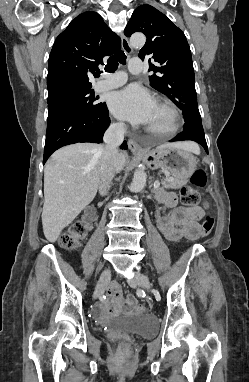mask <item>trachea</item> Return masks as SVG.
<instances>
[{
	"instance_id": "1",
	"label": "trachea",
	"mask_w": 249,
	"mask_h": 382,
	"mask_svg": "<svg viewBox=\"0 0 249 382\" xmlns=\"http://www.w3.org/2000/svg\"><path fill=\"white\" fill-rule=\"evenodd\" d=\"M118 62L121 64H125L126 62V55L123 51L119 50L116 54L112 55L108 61L107 65L105 66V71L112 73L115 72V70L118 67ZM101 71H98L97 74L100 75Z\"/></svg>"
}]
</instances>
